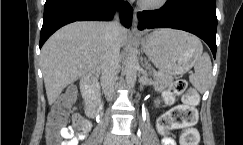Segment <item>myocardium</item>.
<instances>
[{
  "label": "myocardium",
  "mask_w": 243,
  "mask_h": 145,
  "mask_svg": "<svg viewBox=\"0 0 243 145\" xmlns=\"http://www.w3.org/2000/svg\"><path fill=\"white\" fill-rule=\"evenodd\" d=\"M167 3L168 0H140V6L145 10H159Z\"/></svg>",
  "instance_id": "obj_1"
}]
</instances>
